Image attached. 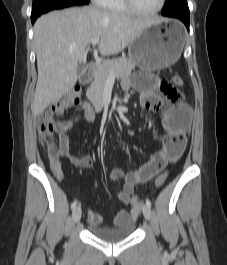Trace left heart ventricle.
I'll use <instances>...</instances> for the list:
<instances>
[{"label": "left heart ventricle", "instance_id": "1", "mask_svg": "<svg viewBox=\"0 0 227 265\" xmlns=\"http://www.w3.org/2000/svg\"><path fill=\"white\" fill-rule=\"evenodd\" d=\"M138 9L142 11H151L158 7L160 0H134Z\"/></svg>", "mask_w": 227, "mask_h": 265}]
</instances>
